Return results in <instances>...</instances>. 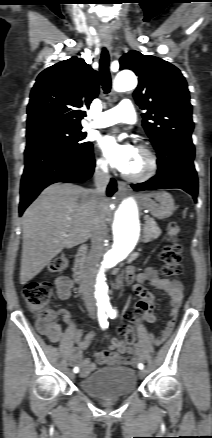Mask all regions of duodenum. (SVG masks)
Returning <instances> with one entry per match:
<instances>
[{
    "mask_svg": "<svg viewBox=\"0 0 212 438\" xmlns=\"http://www.w3.org/2000/svg\"><path fill=\"white\" fill-rule=\"evenodd\" d=\"M86 254H87L86 246H81L76 254L75 263H74V274L77 281H80L83 277Z\"/></svg>",
    "mask_w": 212,
    "mask_h": 438,
    "instance_id": "duodenum-1",
    "label": "duodenum"
}]
</instances>
